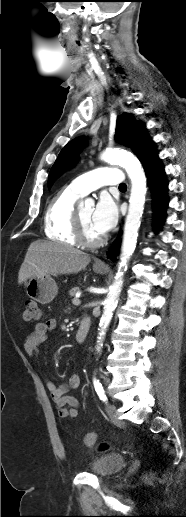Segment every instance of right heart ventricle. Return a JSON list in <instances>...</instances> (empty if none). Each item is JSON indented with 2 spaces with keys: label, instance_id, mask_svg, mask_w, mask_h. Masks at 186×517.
Segmentation results:
<instances>
[{
  "label": "right heart ventricle",
  "instance_id": "right-heart-ventricle-1",
  "mask_svg": "<svg viewBox=\"0 0 186 517\" xmlns=\"http://www.w3.org/2000/svg\"><path fill=\"white\" fill-rule=\"evenodd\" d=\"M81 196L71 186H66L51 199L44 216V231L49 239L69 246L78 244L75 237V202Z\"/></svg>",
  "mask_w": 186,
  "mask_h": 517
}]
</instances>
